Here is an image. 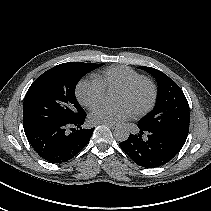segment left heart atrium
<instances>
[{
    "instance_id": "39dd6f15",
    "label": "left heart atrium",
    "mask_w": 211,
    "mask_h": 211,
    "mask_svg": "<svg viewBox=\"0 0 211 211\" xmlns=\"http://www.w3.org/2000/svg\"><path fill=\"white\" fill-rule=\"evenodd\" d=\"M133 111L126 104L100 105L93 109L89 119L93 123L117 124L131 117Z\"/></svg>"
}]
</instances>
